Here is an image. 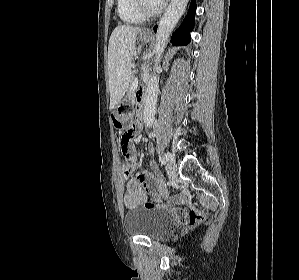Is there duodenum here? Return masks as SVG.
Returning a JSON list of instances; mask_svg holds the SVG:
<instances>
[{
	"mask_svg": "<svg viewBox=\"0 0 299 280\" xmlns=\"http://www.w3.org/2000/svg\"><path fill=\"white\" fill-rule=\"evenodd\" d=\"M137 100H138L139 108L141 111V115H143V113H144V96L142 93L138 94Z\"/></svg>",
	"mask_w": 299,
	"mask_h": 280,
	"instance_id": "duodenum-1",
	"label": "duodenum"
}]
</instances>
